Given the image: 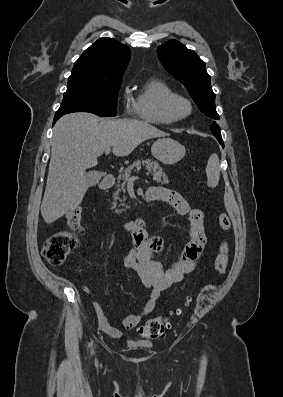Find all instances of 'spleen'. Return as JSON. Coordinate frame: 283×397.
I'll list each match as a JSON object with an SVG mask.
<instances>
[{
    "label": "spleen",
    "mask_w": 283,
    "mask_h": 397,
    "mask_svg": "<svg viewBox=\"0 0 283 397\" xmlns=\"http://www.w3.org/2000/svg\"><path fill=\"white\" fill-rule=\"evenodd\" d=\"M206 175H207V185L209 187H216L219 183L220 178V164L219 158L217 154H212L207 162L206 166Z\"/></svg>",
    "instance_id": "obj_1"
}]
</instances>
